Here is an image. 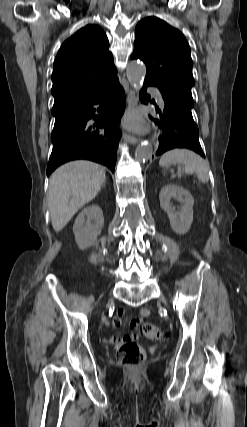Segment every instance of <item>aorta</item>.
Wrapping results in <instances>:
<instances>
[{"label": "aorta", "mask_w": 247, "mask_h": 427, "mask_svg": "<svg viewBox=\"0 0 247 427\" xmlns=\"http://www.w3.org/2000/svg\"><path fill=\"white\" fill-rule=\"evenodd\" d=\"M127 78L130 84L140 89L143 85L144 78L146 75V68L143 64L137 62H131L126 70ZM153 155V146L149 143L141 144L136 148L135 159L139 162L149 160Z\"/></svg>", "instance_id": "aorta-1"}]
</instances>
